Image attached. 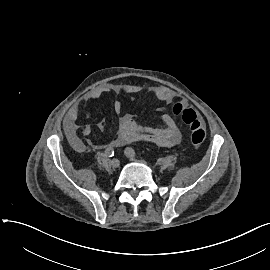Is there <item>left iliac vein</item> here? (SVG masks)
<instances>
[{
  "instance_id": "obj_1",
  "label": "left iliac vein",
  "mask_w": 270,
  "mask_h": 270,
  "mask_svg": "<svg viewBox=\"0 0 270 270\" xmlns=\"http://www.w3.org/2000/svg\"><path fill=\"white\" fill-rule=\"evenodd\" d=\"M125 154H126V156H127L131 161L141 162V163H146L144 160L137 159V158H135L134 156H131V155L128 154V153H125Z\"/></svg>"
}]
</instances>
